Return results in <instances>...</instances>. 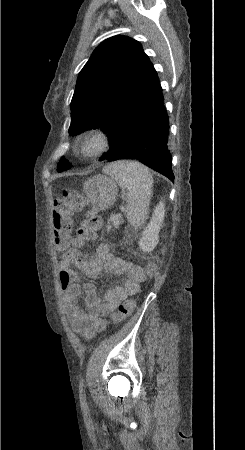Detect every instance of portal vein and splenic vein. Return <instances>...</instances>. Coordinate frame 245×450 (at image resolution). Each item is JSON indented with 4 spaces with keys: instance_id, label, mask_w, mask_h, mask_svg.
<instances>
[{
    "instance_id": "1",
    "label": "portal vein and splenic vein",
    "mask_w": 245,
    "mask_h": 450,
    "mask_svg": "<svg viewBox=\"0 0 245 450\" xmlns=\"http://www.w3.org/2000/svg\"><path fill=\"white\" fill-rule=\"evenodd\" d=\"M121 210H124V207H123V206L121 207Z\"/></svg>"
}]
</instances>
